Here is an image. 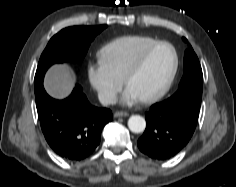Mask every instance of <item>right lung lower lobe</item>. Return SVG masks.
Segmentation results:
<instances>
[{
    "mask_svg": "<svg viewBox=\"0 0 236 187\" xmlns=\"http://www.w3.org/2000/svg\"><path fill=\"white\" fill-rule=\"evenodd\" d=\"M35 99L45 139L68 161L89 157L100 143L102 128L112 120V112L92 106L78 84L64 100L51 98L42 85L35 91Z\"/></svg>",
    "mask_w": 236,
    "mask_h": 187,
    "instance_id": "right-lung-lower-lobe-1",
    "label": "right lung lower lobe"
}]
</instances>
